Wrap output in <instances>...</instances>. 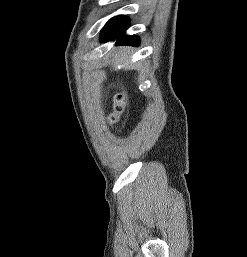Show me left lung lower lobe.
<instances>
[{
	"mask_svg": "<svg viewBox=\"0 0 247 257\" xmlns=\"http://www.w3.org/2000/svg\"><path fill=\"white\" fill-rule=\"evenodd\" d=\"M127 16H117L110 19L101 31V42L117 39L116 45L138 46L139 38L135 35L125 36V30L129 27Z\"/></svg>",
	"mask_w": 247,
	"mask_h": 257,
	"instance_id": "obj_1",
	"label": "left lung lower lobe"
}]
</instances>
